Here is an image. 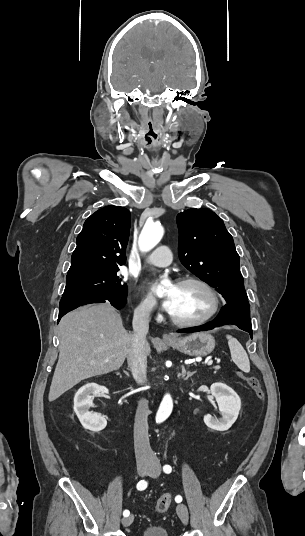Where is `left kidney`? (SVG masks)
<instances>
[{
  "instance_id": "1",
  "label": "left kidney",
  "mask_w": 305,
  "mask_h": 536,
  "mask_svg": "<svg viewBox=\"0 0 305 536\" xmlns=\"http://www.w3.org/2000/svg\"><path fill=\"white\" fill-rule=\"evenodd\" d=\"M210 392L216 398L222 418L214 420L212 416H204V422L211 430L225 432L236 422L241 408V400L232 388H229L226 384H221V382L212 384Z\"/></svg>"
}]
</instances>
